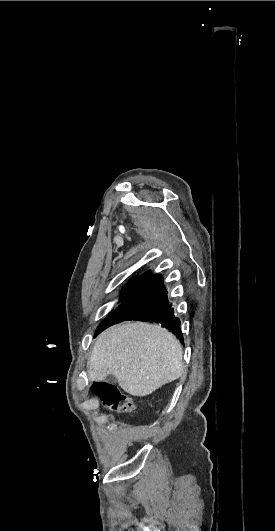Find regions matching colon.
Returning a JSON list of instances; mask_svg holds the SVG:
<instances>
[{
  "instance_id": "5ec220e1",
  "label": "colon",
  "mask_w": 275,
  "mask_h": 531,
  "mask_svg": "<svg viewBox=\"0 0 275 531\" xmlns=\"http://www.w3.org/2000/svg\"><path fill=\"white\" fill-rule=\"evenodd\" d=\"M92 392L100 398L103 405L112 411L131 413L135 410L131 397L109 381H97L92 386Z\"/></svg>"
}]
</instances>
